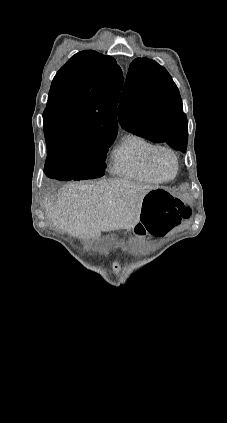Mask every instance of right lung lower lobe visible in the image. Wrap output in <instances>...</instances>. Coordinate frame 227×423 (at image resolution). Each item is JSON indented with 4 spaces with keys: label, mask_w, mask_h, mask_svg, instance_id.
I'll return each instance as SVG.
<instances>
[{
    "label": "right lung lower lobe",
    "mask_w": 227,
    "mask_h": 423,
    "mask_svg": "<svg viewBox=\"0 0 227 423\" xmlns=\"http://www.w3.org/2000/svg\"><path fill=\"white\" fill-rule=\"evenodd\" d=\"M44 172L47 177L57 180H70L72 168L60 163H46Z\"/></svg>",
    "instance_id": "obj_1"
}]
</instances>
